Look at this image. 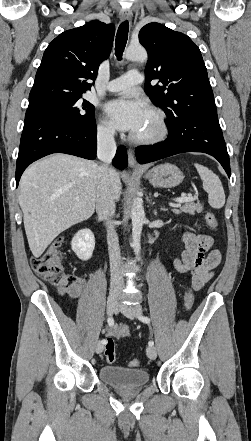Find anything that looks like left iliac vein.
<instances>
[{"mask_svg": "<svg viewBox=\"0 0 251 441\" xmlns=\"http://www.w3.org/2000/svg\"><path fill=\"white\" fill-rule=\"evenodd\" d=\"M117 309L121 311L126 317L134 319L136 316L141 315L142 308L139 305L128 306L124 304H118ZM147 356L154 360L157 357V350L154 346H148L146 349Z\"/></svg>", "mask_w": 251, "mask_h": 441, "instance_id": "1", "label": "left iliac vein"}]
</instances>
